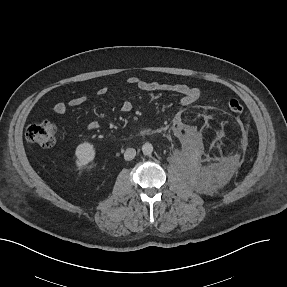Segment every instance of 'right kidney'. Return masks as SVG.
Segmentation results:
<instances>
[{
  "mask_svg": "<svg viewBox=\"0 0 287 287\" xmlns=\"http://www.w3.org/2000/svg\"><path fill=\"white\" fill-rule=\"evenodd\" d=\"M95 148L93 144L84 142L79 144L75 150L76 166L81 168L92 162L95 158Z\"/></svg>",
  "mask_w": 287,
  "mask_h": 287,
  "instance_id": "right-kidney-1",
  "label": "right kidney"
}]
</instances>
